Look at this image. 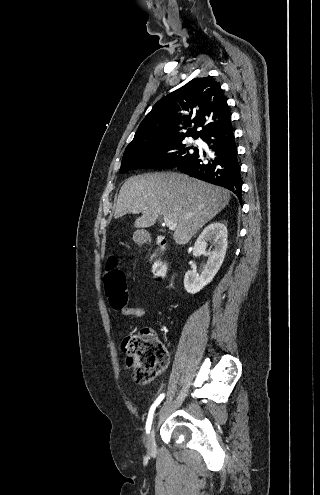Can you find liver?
Instances as JSON below:
<instances>
[{
    "instance_id": "6515ba94",
    "label": "liver",
    "mask_w": 320,
    "mask_h": 495,
    "mask_svg": "<svg viewBox=\"0 0 320 495\" xmlns=\"http://www.w3.org/2000/svg\"><path fill=\"white\" fill-rule=\"evenodd\" d=\"M230 201L223 188L186 175L167 172L134 176L120 189L114 217L139 214L135 228L153 226L158 217H169L176 226L174 240L188 243L196 232L222 211Z\"/></svg>"
}]
</instances>
